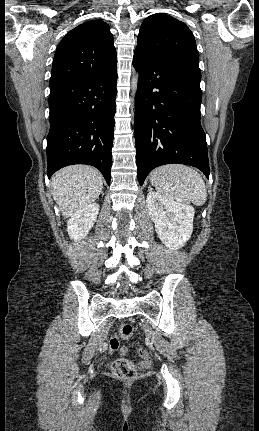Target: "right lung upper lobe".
Masks as SVG:
<instances>
[{"label":"right lung upper lobe","mask_w":259,"mask_h":431,"mask_svg":"<svg viewBox=\"0 0 259 431\" xmlns=\"http://www.w3.org/2000/svg\"><path fill=\"white\" fill-rule=\"evenodd\" d=\"M109 26L100 20L85 22L60 41L52 64L50 86L100 76L117 69Z\"/></svg>","instance_id":"cb5924a9"}]
</instances>
